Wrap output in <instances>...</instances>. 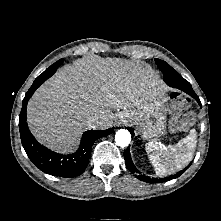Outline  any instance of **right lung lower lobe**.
Masks as SVG:
<instances>
[{
    "label": "right lung lower lobe",
    "mask_w": 221,
    "mask_h": 221,
    "mask_svg": "<svg viewBox=\"0 0 221 221\" xmlns=\"http://www.w3.org/2000/svg\"><path fill=\"white\" fill-rule=\"evenodd\" d=\"M58 67L50 71H44L39 75L28 92L26 93L22 109L19 116V131L22 145L33 164L41 171L60 177H74L80 175L88 165L91 148L95 140L111 134L114 128L107 130H88L81 139L79 149L70 155H62L53 152L39 144L31 134L26 122V108L30 97L34 91L49 77H51Z\"/></svg>",
    "instance_id": "obj_1"
}]
</instances>
